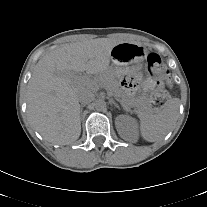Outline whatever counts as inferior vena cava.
Returning <instances> with one entry per match:
<instances>
[{"instance_id":"602c4592","label":"inferior vena cava","mask_w":207,"mask_h":207,"mask_svg":"<svg viewBox=\"0 0 207 207\" xmlns=\"http://www.w3.org/2000/svg\"><path fill=\"white\" fill-rule=\"evenodd\" d=\"M94 98V91L89 88H82L78 91V101L82 104L90 103Z\"/></svg>"}]
</instances>
